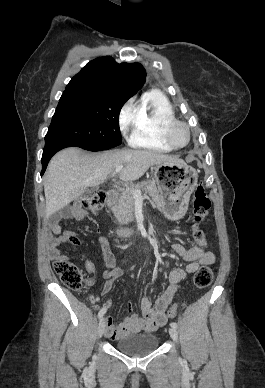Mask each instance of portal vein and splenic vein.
<instances>
[{
  "label": "portal vein and splenic vein",
  "mask_w": 265,
  "mask_h": 388,
  "mask_svg": "<svg viewBox=\"0 0 265 388\" xmlns=\"http://www.w3.org/2000/svg\"><path fill=\"white\" fill-rule=\"evenodd\" d=\"M121 170H123V166H117V168H115L112 176H115V174H119V172H121ZM141 194H142L141 190H133V198H137V200H139V198H142Z\"/></svg>",
  "instance_id": "obj_1"
}]
</instances>
